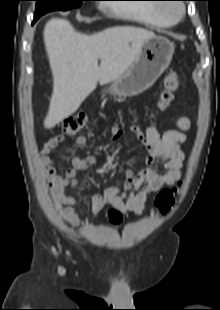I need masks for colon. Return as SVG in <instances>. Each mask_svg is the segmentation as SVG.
I'll return each mask as SVG.
<instances>
[{
    "label": "colon",
    "instance_id": "5ec220e1",
    "mask_svg": "<svg viewBox=\"0 0 220 310\" xmlns=\"http://www.w3.org/2000/svg\"><path fill=\"white\" fill-rule=\"evenodd\" d=\"M180 78L176 71L169 70L165 73L163 79V89L159 94L157 107L160 110L167 108L173 101L175 94L179 88ZM87 118L81 112L73 113L66 116L62 122L63 131L69 135H74L86 125ZM178 192V187L173 189L162 190L155 199L157 209L166 214L174 204L175 196ZM109 219L112 224H119L122 220V215L118 210L112 209L109 211Z\"/></svg>",
    "mask_w": 220,
    "mask_h": 310
}]
</instances>
